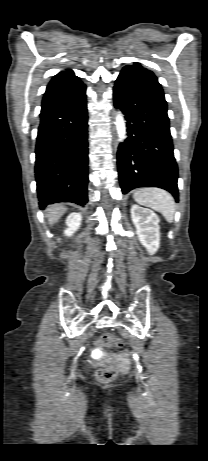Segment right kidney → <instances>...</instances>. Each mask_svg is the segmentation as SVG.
Wrapping results in <instances>:
<instances>
[{
    "mask_svg": "<svg viewBox=\"0 0 208 461\" xmlns=\"http://www.w3.org/2000/svg\"><path fill=\"white\" fill-rule=\"evenodd\" d=\"M82 216L80 213H71L66 218L67 229L65 230L66 236H72V234L77 231L81 225Z\"/></svg>",
    "mask_w": 208,
    "mask_h": 461,
    "instance_id": "right-kidney-1",
    "label": "right kidney"
}]
</instances>
